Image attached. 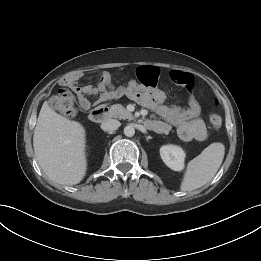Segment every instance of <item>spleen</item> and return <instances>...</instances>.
I'll list each match as a JSON object with an SVG mask.
<instances>
[{
    "instance_id": "spleen-1",
    "label": "spleen",
    "mask_w": 261,
    "mask_h": 261,
    "mask_svg": "<svg viewBox=\"0 0 261 261\" xmlns=\"http://www.w3.org/2000/svg\"><path fill=\"white\" fill-rule=\"evenodd\" d=\"M224 154V145L217 142L210 144L189 161L181 182V191H192L208 183L221 166Z\"/></svg>"
}]
</instances>
